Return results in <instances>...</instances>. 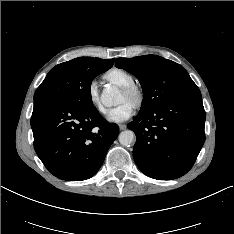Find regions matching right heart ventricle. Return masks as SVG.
I'll use <instances>...</instances> for the list:
<instances>
[{
  "label": "right heart ventricle",
  "mask_w": 234,
  "mask_h": 234,
  "mask_svg": "<svg viewBox=\"0 0 234 234\" xmlns=\"http://www.w3.org/2000/svg\"><path fill=\"white\" fill-rule=\"evenodd\" d=\"M104 78L120 88L134 82L133 76L121 68L110 69L105 73Z\"/></svg>",
  "instance_id": "obj_1"
}]
</instances>
